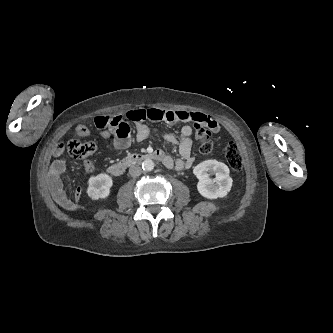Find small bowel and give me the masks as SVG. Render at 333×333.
Wrapping results in <instances>:
<instances>
[{
    "label": "small bowel",
    "mask_w": 333,
    "mask_h": 333,
    "mask_svg": "<svg viewBox=\"0 0 333 333\" xmlns=\"http://www.w3.org/2000/svg\"><path fill=\"white\" fill-rule=\"evenodd\" d=\"M128 116L129 128L130 125L135 127V137L138 141H145L153 135V130L148 127L144 122L159 121L156 117H160V120L167 122L168 124L185 123L182 127L178 136L172 133H164L163 137L171 142L178 145V151L180 158L173 160L170 156H166V162L164 165L168 168H174L181 171L185 168H191L194 164V158L191 154L192 150V127L189 123H196L205 126L213 133L220 131L219 124L212 119L210 116L202 112L185 111V110H163L159 108L150 109H133L126 113ZM88 133L84 136H87ZM102 137H112L114 145L117 149H125L131 142V132L125 135L116 133L112 129H106L101 132ZM83 166L86 172H93L95 166L92 161L85 160ZM66 170V161L64 159L55 160L49 168L47 183L50 187V191L54 200L64 208H71L72 205L80 199L81 190L77 188L71 198H68L63 182L61 180V174Z\"/></svg>",
    "instance_id": "small-bowel-1"
}]
</instances>
